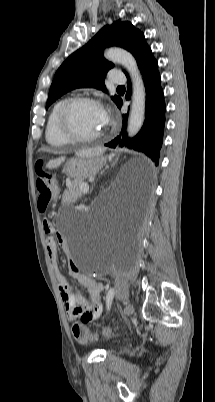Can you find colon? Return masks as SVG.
Masks as SVG:
<instances>
[{"label":"colon","mask_w":215,"mask_h":402,"mask_svg":"<svg viewBox=\"0 0 215 402\" xmlns=\"http://www.w3.org/2000/svg\"><path fill=\"white\" fill-rule=\"evenodd\" d=\"M36 172L39 175L37 179V189L39 191V199H38V207L41 211H44L47 206L53 202L58 194L59 184L56 177L43 169V163L40 161L36 164ZM48 219H45L43 222H48ZM90 315V312L87 313V316L84 320ZM84 323V321H81ZM75 323L72 327V332L74 338L81 343H87L89 341H93L97 338V334L90 333L89 330L82 324ZM112 329L109 327H105L102 331L104 335H110L112 333Z\"/></svg>","instance_id":"colon-1"}]
</instances>
